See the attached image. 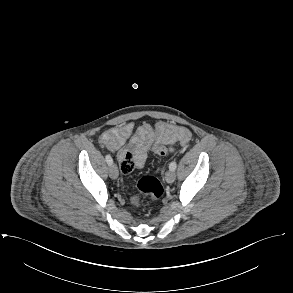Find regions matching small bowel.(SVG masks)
I'll return each instance as SVG.
<instances>
[{
	"instance_id": "obj_1",
	"label": "small bowel",
	"mask_w": 293,
	"mask_h": 293,
	"mask_svg": "<svg viewBox=\"0 0 293 293\" xmlns=\"http://www.w3.org/2000/svg\"><path fill=\"white\" fill-rule=\"evenodd\" d=\"M190 140L187 128L166 121H159L154 127L142 124L136 129L132 122H127L106 130L99 143L114 153L122 173L128 174L145 164L154 144L178 142L186 146Z\"/></svg>"
}]
</instances>
